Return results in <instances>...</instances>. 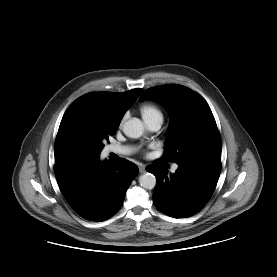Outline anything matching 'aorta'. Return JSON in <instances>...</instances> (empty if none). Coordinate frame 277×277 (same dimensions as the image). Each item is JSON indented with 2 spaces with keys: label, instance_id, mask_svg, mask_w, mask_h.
<instances>
[{
  "label": "aorta",
  "instance_id": "762f6f07",
  "mask_svg": "<svg viewBox=\"0 0 277 277\" xmlns=\"http://www.w3.org/2000/svg\"><path fill=\"white\" fill-rule=\"evenodd\" d=\"M123 132L129 138H139L144 132V125L138 118H132L123 125ZM141 187L153 189L156 186V177L151 173H144L139 177Z\"/></svg>",
  "mask_w": 277,
  "mask_h": 277
}]
</instances>
